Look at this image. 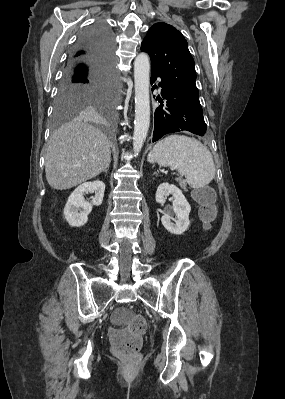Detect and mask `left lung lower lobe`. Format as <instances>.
Listing matches in <instances>:
<instances>
[{
	"label": "left lung lower lobe",
	"mask_w": 285,
	"mask_h": 399,
	"mask_svg": "<svg viewBox=\"0 0 285 399\" xmlns=\"http://www.w3.org/2000/svg\"><path fill=\"white\" fill-rule=\"evenodd\" d=\"M157 77L162 79V98H157L161 106L157 107L154 114L153 142L165 134L180 131H189L203 136L207 126L202 110L197 108L168 78L161 75L158 70L151 68V84L156 81Z\"/></svg>",
	"instance_id": "1"
}]
</instances>
